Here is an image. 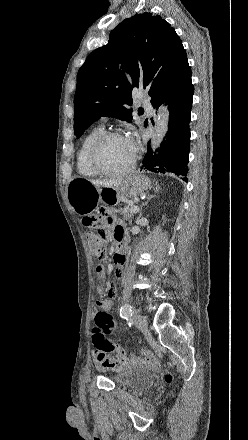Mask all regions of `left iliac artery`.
<instances>
[{"instance_id": "44dca946", "label": "left iliac artery", "mask_w": 248, "mask_h": 440, "mask_svg": "<svg viewBox=\"0 0 248 440\" xmlns=\"http://www.w3.org/2000/svg\"><path fill=\"white\" fill-rule=\"evenodd\" d=\"M133 310L129 304H124L120 309V316L127 321H132Z\"/></svg>"}]
</instances>
